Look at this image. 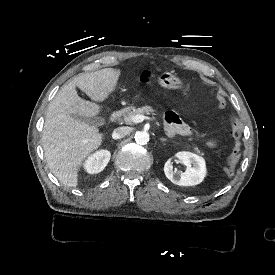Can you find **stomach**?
<instances>
[{"mask_svg": "<svg viewBox=\"0 0 275 275\" xmlns=\"http://www.w3.org/2000/svg\"><path fill=\"white\" fill-rule=\"evenodd\" d=\"M157 84L166 90H188L189 85L180 78L175 71H164L156 77ZM140 94H135L132 98L133 107L141 101Z\"/></svg>", "mask_w": 275, "mask_h": 275, "instance_id": "0dacf381", "label": "stomach"}]
</instances>
